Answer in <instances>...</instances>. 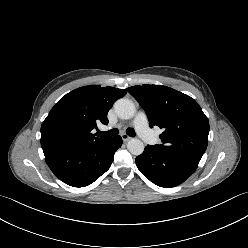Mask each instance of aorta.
Instances as JSON below:
<instances>
[{
  "instance_id": "1",
  "label": "aorta",
  "mask_w": 248,
  "mask_h": 248,
  "mask_svg": "<svg viewBox=\"0 0 248 248\" xmlns=\"http://www.w3.org/2000/svg\"><path fill=\"white\" fill-rule=\"evenodd\" d=\"M114 109L117 116L121 119H131L135 114V106L134 103L125 98H121L117 100L114 104ZM127 149L133 155H140L144 151V144L141 140L137 138H133L128 141Z\"/></svg>"
}]
</instances>
